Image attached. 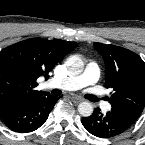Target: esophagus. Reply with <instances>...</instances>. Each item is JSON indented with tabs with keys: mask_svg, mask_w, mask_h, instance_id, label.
<instances>
[{
	"mask_svg": "<svg viewBox=\"0 0 145 145\" xmlns=\"http://www.w3.org/2000/svg\"><path fill=\"white\" fill-rule=\"evenodd\" d=\"M71 100L75 104H78V103L83 101V99L80 96H77V95H72Z\"/></svg>",
	"mask_w": 145,
	"mask_h": 145,
	"instance_id": "obj_1",
	"label": "esophagus"
}]
</instances>
